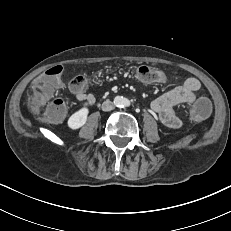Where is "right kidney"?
Here are the masks:
<instances>
[{"label": "right kidney", "instance_id": "obj_1", "mask_svg": "<svg viewBox=\"0 0 231 231\" xmlns=\"http://www.w3.org/2000/svg\"><path fill=\"white\" fill-rule=\"evenodd\" d=\"M88 113V108L84 107L72 114L67 122L68 127L72 130H76L82 127L87 121Z\"/></svg>", "mask_w": 231, "mask_h": 231}]
</instances>
